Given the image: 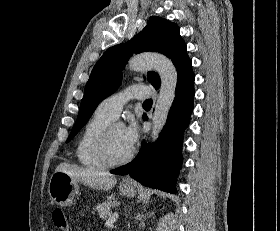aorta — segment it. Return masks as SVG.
<instances>
[{"mask_svg":"<svg viewBox=\"0 0 280 231\" xmlns=\"http://www.w3.org/2000/svg\"><path fill=\"white\" fill-rule=\"evenodd\" d=\"M129 70L141 72L147 68H153L161 78V86L152 116V139H157L161 129H163L169 110L174 102L175 90L177 86V72L171 60L161 54H141L135 56L128 64Z\"/></svg>","mask_w":280,"mask_h":231,"instance_id":"obj_1","label":"aorta"}]
</instances>
